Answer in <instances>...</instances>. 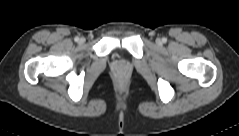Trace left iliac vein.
I'll list each match as a JSON object with an SVG mask.
<instances>
[{
	"label": "left iliac vein",
	"instance_id": "left-iliac-vein-1",
	"mask_svg": "<svg viewBox=\"0 0 239 136\" xmlns=\"http://www.w3.org/2000/svg\"><path fill=\"white\" fill-rule=\"evenodd\" d=\"M156 43H157L158 45H161V44H162V40L158 38V39L156 40Z\"/></svg>",
	"mask_w": 239,
	"mask_h": 136
}]
</instances>
